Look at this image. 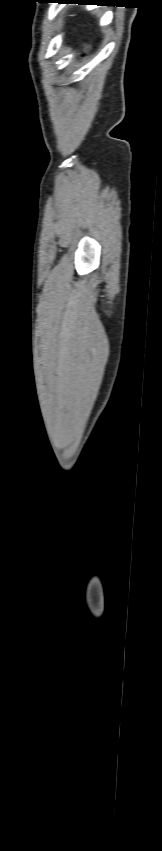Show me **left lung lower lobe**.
<instances>
[{
  "instance_id": "obj_1",
  "label": "left lung lower lobe",
  "mask_w": 162,
  "mask_h": 851,
  "mask_svg": "<svg viewBox=\"0 0 162 851\" xmlns=\"http://www.w3.org/2000/svg\"><path fill=\"white\" fill-rule=\"evenodd\" d=\"M97 0H69L67 2H59V3H77L79 5L85 4L86 2H95Z\"/></svg>"
}]
</instances>
